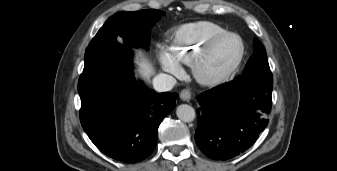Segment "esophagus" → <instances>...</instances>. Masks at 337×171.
Returning a JSON list of instances; mask_svg holds the SVG:
<instances>
[{
    "mask_svg": "<svg viewBox=\"0 0 337 171\" xmlns=\"http://www.w3.org/2000/svg\"><path fill=\"white\" fill-rule=\"evenodd\" d=\"M181 100L185 102H189L191 100V93L188 89H184L180 93Z\"/></svg>",
    "mask_w": 337,
    "mask_h": 171,
    "instance_id": "obj_1",
    "label": "esophagus"
}]
</instances>
